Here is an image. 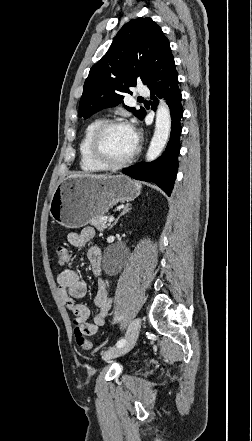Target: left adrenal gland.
Returning a JSON list of instances; mask_svg holds the SVG:
<instances>
[{
	"mask_svg": "<svg viewBox=\"0 0 252 441\" xmlns=\"http://www.w3.org/2000/svg\"><path fill=\"white\" fill-rule=\"evenodd\" d=\"M131 210V205L130 204H126V206L124 207L123 211L120 213V215L117 217V219L115 220V222L109 227V230L112 229L119 221V219L125 215L127 212H129Z\"/></svg>",
	"mask_w": 252,
	"mask_h": 441,
	"instance_id": "obj_1",
	"label": "left adrenal gland"
}]
</instances>
